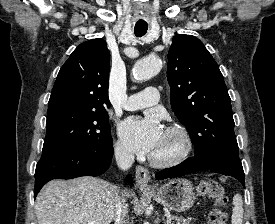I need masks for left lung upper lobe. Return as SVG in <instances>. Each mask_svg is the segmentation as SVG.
Masks as SVG:
<instances>
[{
	"instance_id": "left-lung-upper-lobe-1",
	"label": "left lung upper lobe",
	"mask_w": 275,
	"mask_h": 224,
	"mask_svg": "<svg viewBox=\"0 0 275 224\" xmlns=\"http://www.w3.org/2000/svg\"><path fill=\"white\" fill-rule=\"evenodd\" d=\"M171 106L197 158H239L231 99L218 64L192 35L174 36L168 52Z\"/></svg>"
}]
</instances>
